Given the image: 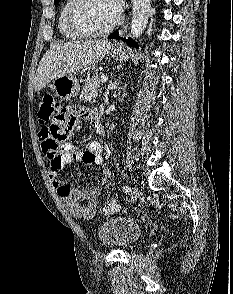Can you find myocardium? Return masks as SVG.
I'll list each match as a JSON object with an SVG mask.
<instances>
[{
    "label": "myocardium",
    "instance_id": "obj_1",
    "mask_svg": "<svg viewBox=\"0 0 233 294\" xmlns=\"http://www.w3.org/2000/svg\"><path fill=\"white\" fill-rule=\"evenodd\" d=\"M87 0H73V3L69 9L68 13V22L70 27L80 36L87 37V38H98L105 36L112 32L121 22V15L118 14L116 19L106 28L99 30V31H90L86 29L79 20V11L82 5Z\"/></svg>",
    "mask_w": 233,
    "mask_h": 294
}]
</instances>
